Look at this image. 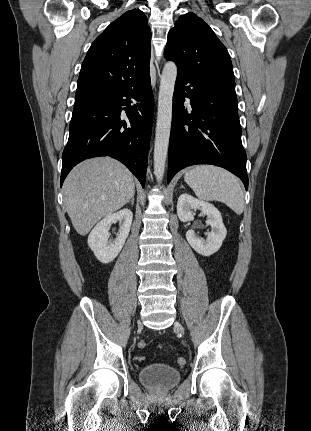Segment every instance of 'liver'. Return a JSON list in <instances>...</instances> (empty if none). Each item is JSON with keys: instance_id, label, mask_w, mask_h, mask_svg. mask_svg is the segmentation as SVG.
<instances>
[{"instance_id": "liver-1", "label": "liver", "mask_w": 311, "mask_h": 431, "mask_svg": "<svg viewBox=\"0 0 311 431\" xmlns=\"http://www.w3.org/2000/svg\"><path fill=\"white\" fill-rule=\"evenodd\" d=\"M135 194L134 176L113 158L85 160L64 184V204L77 233L86 235L101 219L117 212Z\"/></svg>"}]
</instances>
